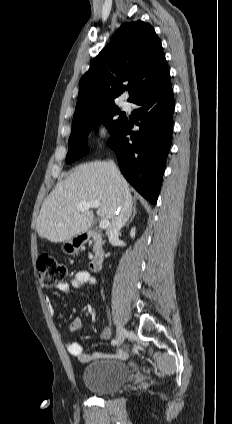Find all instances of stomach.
<instances>
[{
  "instance_id": "1",
  "label": "stomach",
  "mask_w": 232,
  "mask_h": 424,
  "mask_svg": "<svg viewBox=\"0 0 232 424\" xmlns=\"http://www.w3.org/2000/svg\"><path fill=\"white\" fill-rule=\"evenodd\" d=\"M82 235H76L73 238L65 241L62 245V250L67 255H75L78 253L79 249L85 242L84 238H81Z\"/></svg>"
}]
</instances>
